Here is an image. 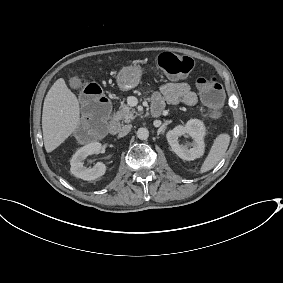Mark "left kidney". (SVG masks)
<instances>
[{"label":"left kidney","instance_id":"obj_1","mask_svg":"<svg viewBox=\"0 0 283 283\" xmlns=\"http://www.w3.org/2000/svg\"><path fill=\"white\" fill-rule=\"evenodd\" d=\"M204 134L205 129L203 123L198 120H190L184 125L179 124L172 130H169L166 133V138L174 153L183 160L192 161L203 155ZM182 135H186V137H190L192 139L191 148H189V144L186 142L183 144L179 143L178 138Z\"/></svg>","mask_w":283,"mask_h":283}]
</instances>
